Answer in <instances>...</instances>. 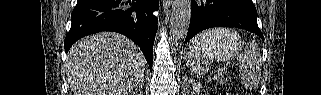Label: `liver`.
Segmentation results:
<instances>
[{"label":"liver","mask_w":321,"mask_h":95,"mask_svg":"<svg viewBox=\"0 0 321 95\" xmlns=\"http://www.w3.org/2000/svg\"><path fill=\"white\" fill-rule=\"evenodd\" d=\"M145 68L138 46L115 32L80 39L65 64L74 95H126L144 78Z\"/></svg>","instance_id":"1"}]
</instances>
